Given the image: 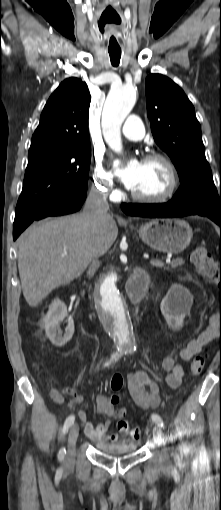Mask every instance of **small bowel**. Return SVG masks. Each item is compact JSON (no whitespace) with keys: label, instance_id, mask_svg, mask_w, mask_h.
Returning a JSON list of instances; mask_svg holds the SVG:
<instances>
[{"label":"small bowel","instance_id":"c3829d8e","mask_svg":"<svg viewBox=\"0 0 221 510\" xmlns=\"http://www.w3.org/2000/svg\"><path fill=\"white\" fill-rule=\"evenodd\" d=\"M221 330V313H214L210 319L206 329L195 339L188 342L182 348L177 357L168 355L162 362V368L167 373L166 383L169 388L176 389L180 386L185 374L184 362L191 360L197 355L204 346L217 337ZM127 391L134 401V403L142 409L158 407L162 390L157 382H155L149 374L141 370L131 371L126 376ZM72 399L77 396L81 403L83 397L76 393H71ZM97 411L105 416H116L117 410L111 399L105 395H98L96 398ZM79 419L84 423V430L86 435L96 443L112 442L118 438L117 434L109 433L111 422L109 420L94 425L88 420L87 413L84 410L78 411ZM118 430L121 433H127L128 430L120 428L118 423Z\"/></svg>","mask_w":221,"mask_h":510}]
</instances>
